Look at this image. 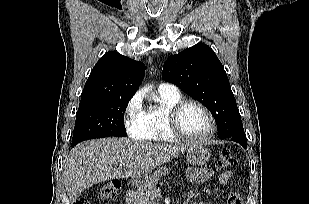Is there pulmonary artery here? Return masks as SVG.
Here are the masks:
<instances>
[{"label":"pulmonary artery","mask_w":309,"mask_h":204,"mask_svg":"<svg viewBox=\"0 0 309 204\" xmlns=\"http://www.w3.org/2000/svg\"><path fill=\"white\" fill-rule=\"evenodd\" d=\"M158 92H160V93H178L179 90L175 85L163 82V83H160L158 85Z\"/></svg>","instance_id":"obj_1"}]
</instances>
